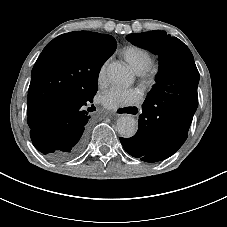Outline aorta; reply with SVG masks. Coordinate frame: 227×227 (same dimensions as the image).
Masks as SVG:
<instances>
[{
    "mask_svg": "<svg viewBox=\"0 0 227 227\" xmlns=\"http://www.w3.org/2000/svg\"><path fill=\"white\" fill-rule=\"evenodd\" d=\"M107 75L111 81L119 84H129L133 81V76L129 68L120 63L112 62L107 68ZM138 129L136 119L127 114L117 120V131L124 138H130L135 135Z\"/></svg>",
    "mask_w": 227,
    "mask_h": 227,
    "instance_id": "762f6f07",
    "label": "aorta"
}]
</instances>
